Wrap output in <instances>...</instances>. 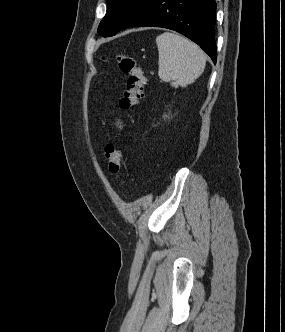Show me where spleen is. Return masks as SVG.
<instances>
[{
	"label": "spleen",
	"mask_w": 285,
	"mask_h": 332,
	"mask_svg": "<svg viewBox=\"0 0 285 332\" xmlns=\"http://www.w3.org/2000/svg\"><path fill=\"white\" fill-rule=\"evenodd\" d=\"M158 76L177 88L195 82L203 73L206 56L198 45L176 33L165 32L157 36Z\"/></svg>",
	"instance_id": "1"
}]
</instances>
